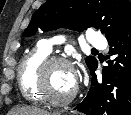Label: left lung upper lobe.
<instances>
[{
	"mask_svg": "<svg viewBox=\"0 0 131 115\" xmlns=\"http://www.w3.org/2000/svg\"><path fill=\"white\" fill-rule=\"evenodd\" d=\"M131 18L128 0H49L32 16L24 35H33L38 28L49 31L58 27L83 31L100 29L108 39ZM91 70L97 65L95 57H86Z\"/></svg>",
	"mask_w": 131,
	"mask_h": 115,
	"instance_id": "1",
	"label": "left lung upper lobe"
}]
</instances>
